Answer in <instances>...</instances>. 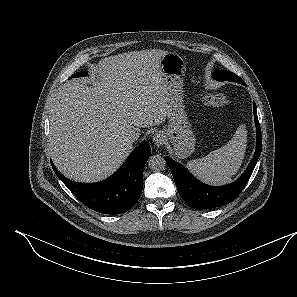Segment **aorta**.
<instances>
[{"label": "aorta", "mask_w": 297, "mask_h": 297, "mask_svg": "<svg viewBox=\"0 0 297 297\" xmlns=\"http://www.w3.org/2000/svg\"><path fill=\"white\" fill-rule=\"evenodd\" d=\"M148 166L152 171H161L166 167L165 159L160 155L151 156L148 160Z\"/></svg>", "instance_id": "1"}]
</instances>
